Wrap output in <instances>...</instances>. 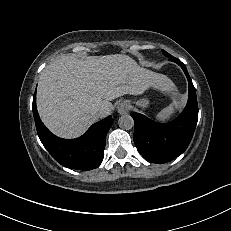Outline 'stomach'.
I'll return each instance as SVG.
<instances>
[{
  "label": "stomach",
  "instance_id": "stomach-1",
  "mask_svg": "<svg viewBox=\"0 0 231 231\" xmlns=\"http://www.w3.org/2000/svg\"><path fill=\"white\" fill-rule=\"evenodd\" d=\"M132 103H134L137 107L141 109H145L149 106V100L147 97L139 98Z\"/></svg>",
  "mask_w": 231,
  "mask_h": 231
}]
</instances>
